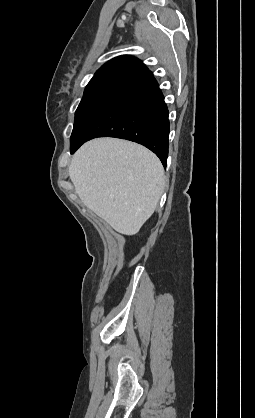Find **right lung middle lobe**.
<instances>
[{
  "mask_svg": "<svg viewBox=\"0 0 255 418\" xmlns=\"http://www.w3.org/2000/svg\"><path fill=\"white\" fill-rule=\"evenodd\" d=\"M124 87L113 84H89L75 113L70 143L78 140L94 115Z\"/></svg>",
  "mask_w": 255,
  "mask_h": 418,
  "instance_id": "dd1d6c3e",
  "label": "right lung middle lobe"
}]
</instances>
